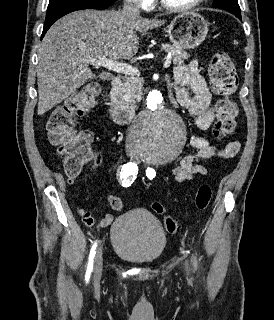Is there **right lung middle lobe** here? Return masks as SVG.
<instances>
[{
  "label": "right lung middle lobe",
  "mask_w": 274,
  "mask_h": 320,
  "mask_svg": "<svg viewBox=\"0 0 274 320\" xmlns=\"http://www.w3.org/2000/svg\"><path fill=\"white\" fill-rule=\"evenodd\" d=\"M81 1H87V0H50L47 10L49 11V10L61 7L65 4L76 3Z\"/></svg>",
  "instance_id": "right-lung-middle-lobe-1"
}]
</instances>
